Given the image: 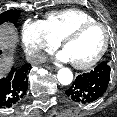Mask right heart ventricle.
Returning a JSON list of instances; mask_svg holds the SVG:
<instances>
[{"label": "right heart ventricle", "instance_id": "1", "mask_svg": "<svg viewBox=\"0 0 117 117\" xmlns=\"http://www.w3.org/2000/svg\"><path fill=\"white\" fill-rule=\"evenodd\" d=\"M93 21H96L95 18L83 10L65 9L48 13L43 22L51 34L60 41L79 25Z\"/></svg>", "mask_w": 117, "mask_h": 117}]
</instances>
